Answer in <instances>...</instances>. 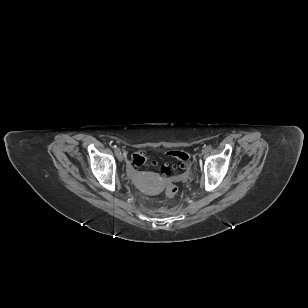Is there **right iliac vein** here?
I'll list each match as a JSON object with an SVG mask.
<instances>
[{"label":"right iliac vein","mask_w":308,"mask_h":308,"mask_svg":"<svg viewBox=\"0 0 308 308\" xmlns=\"http://www.w3.org/2000/svg\"><path fill=\"white\" fill-rule=\"evenodd\" d=\"M115 154H116V156H117L119 161H123L124 160V156H123V154L121 153L120 150L117 151Z\"/></svg>","instance_id":"63e3f726"}]
</instances>
